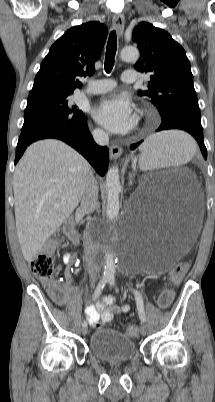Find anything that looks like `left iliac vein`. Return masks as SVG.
<instances>
[{
	"instance_id": "4c4485c4",
	"label": "left iliac vein",
	"mask_w": 215,
	"mask_h": 402,
	"mask_svg": "<svg viewBox=\"0 0 215 402\" xmlns=\"http://www.w3.org/2000/svg\"><path fill=\"white\" fill-rule=\"evenodd\" d=\"M140 333H141L142 335H146V333H147V326H146V324H144V323L141 324V326H140Z\"/></svg>"
}]
</instances>
